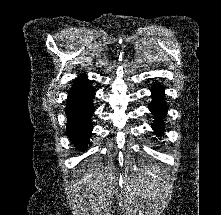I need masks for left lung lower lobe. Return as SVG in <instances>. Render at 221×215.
<instances>
[{
  "label": "left lung lower lobe",
  "instance_id": "1",
  "mask_svg": "<svg viewBox=\"0 0 221 215\" xmlns=\"http://www.w3.org/2000/svg\"><path fill=\"white\" fill-rule=\"evenodd\" d=\"M152 97L153 101L150 104V111L155 114L156 122L153 124V129L155 132L159 134V132H163V118L167 111L165 102L163 101V93L164 89L160 86V84L153 85L152 89Z\"/></svg>",
  "mask_w": 221,
  "mask_h": 215
}]
</instances>
